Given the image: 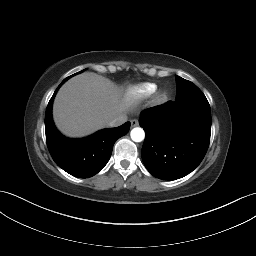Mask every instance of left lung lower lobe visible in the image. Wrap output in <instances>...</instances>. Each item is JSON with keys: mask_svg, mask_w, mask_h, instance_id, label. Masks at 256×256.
Returning a JSON list of instances; mask_svg holds the SVG:
<instances>
[{"mask_svg": "<svg viewBox=\"0 0 256 256\" xmlns=\"http://www.w3.org/2000/svg\"><path fill=\"white\" fill-rule=\"evenodd\" d=\"M139 124L146 137L141 156L155 177L176 180L203 160L210 142L211 110L204 94L144 110Z\"/></svg>", "mask_w": 256, "mask_h": 256, "instance_id": "obj_1", "label": "left lung lower lobe"}]
</instances>
